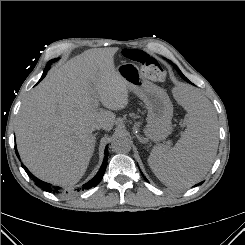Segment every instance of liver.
I'll list each match as a JSON object with an SVG mask.
<instances>
[{
  "mask_svg": "<svg viewBox=\"0 0 245 245\" xmlns=\"http://www.w3.org/2000/svg\"><path fill=\"white\" fill-rule=\"evenodd\" d=\"M118 48L90 49L50 70L23 101L17 148L38 178L61 186L84 175L95 147L96 124L110 131L129 90L114 65ZM109 110H98V104Z\"/></svg>",
  "mask_w": 245,
  "mask_h": 245,
  "instance_id": "obj_1",
  "label": "liver"
}]
</instances>
